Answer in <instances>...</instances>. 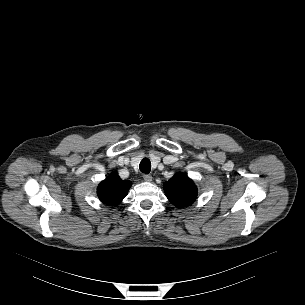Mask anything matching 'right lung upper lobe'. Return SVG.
<instances>
[{
	"instance_id": "1",
	"label": "right lung upper lobe",
	"mask_w": 305,
	"mask_h": 305,
	"mask_svg": "<svg viewBox=\"0 0 305 305\" xmlns=\"http://www.w3.org/2000/svg\"><path fill=\"white\" fill-rule=\"evenodd\" d=\"M131 185L130 181L122 180L117 173H112L99 184L97 194L103 203L114 206L127 195Z\"/></svg>"
}]
</instances>
